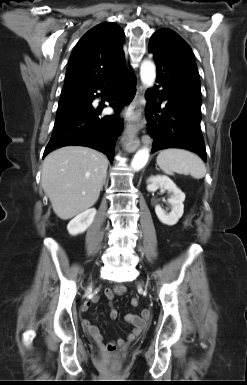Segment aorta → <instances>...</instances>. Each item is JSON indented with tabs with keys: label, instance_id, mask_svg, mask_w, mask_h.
<instances>
[{
	"label": "aorta",
	"instance_id": "obj_1",
	"mask_svg": "<svg viewBox=\"0 0 247 385\" xmlns=\"http://www.w3.org/2000/svg\"><path fill=\"white\" fill-rule=\"evenodd\" d=\"M140 77L143 85L147 88L152 87L156 79V67L155 64L145 59L140 67ZM150 151L147 147H143L136 152L131 162L133 170L138 171L142 169L148 162Z\"/></svg>",
	"mask_w": 247,
	"mask_h": 385
}]
</instances>
